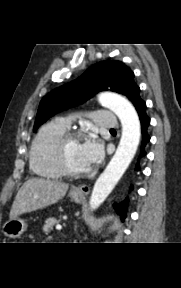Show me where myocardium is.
<instances>
[{
  "instance_id": "myocardium-1",
  "label": "myocardium",
  "mask_w": 181,
  "mask_h": 288,
  "mask_svg": "<svg viewBox=\"0 0 181 288\" xmlns=\"http://www.w3.org/2000/svg\"><path fill=\"white\" fill-rule=\"evenodd\" d=\"M82 137L80 132H65L56 144V161L57 164L64 175L71 177H82L89 173L90 169L84 171L74 170L68 163L66 158V147L67 145L74 140H79Z\"/></svg>"
}]
</instances>
